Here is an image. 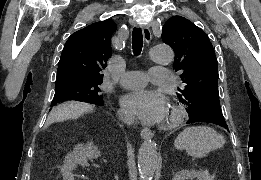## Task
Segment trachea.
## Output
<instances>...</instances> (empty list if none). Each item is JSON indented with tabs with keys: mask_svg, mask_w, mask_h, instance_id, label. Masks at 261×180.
<instances>
[{
	"mask_svg": "<svg viewBox=\"0 0 261 180\" xmlns=\"http://www.w3.org/2000/svg\"><path fill=\"white\" fill-rule=\"evenodd\" d=\"M143 47V34L141 28H134L132 32V49L135 56H139Z\"/></svg>",
	"mask_w": 261,
	"mask_h": 180,
	"instance_id": "obj_1",
	"label": "trachea"
}]
</instances>
